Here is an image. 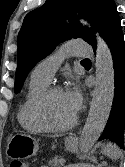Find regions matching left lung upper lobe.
<instances>
[{
  "mask_svg": "<svg viewBox=\"0 0 125 167\" xmlns=\"http://www.w3.org/2000/svg\"><path fill=\"white\" fill-rule=\"evenodd\" d=\"M77 15L91 22L95 29L89 30L76 20L65 24L66 19ZM117 18L113 0H46L44 5L29 12L18 33L15 92L20 91L34 65L59 42L80 37L93 46L96 44L93 32L98 31L104 38Z\"/></svg>",
  "mask_w": 125,
  "mask_h": 167,
  "instance_id": "left-lung-upper-lobe-1",
  "label": "left lung upper lobe"
}]
</instances>
